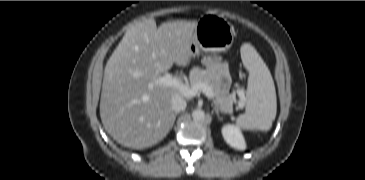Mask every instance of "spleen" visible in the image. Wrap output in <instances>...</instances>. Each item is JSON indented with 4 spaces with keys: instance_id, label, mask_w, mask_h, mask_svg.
I'll use <instances>...</instances> for the list:
<instances>
[{
    "instance_id": "3e777b00",
    "label": "spleen",
    "mask_w": 365,
    "mask_h": 180,
    "mask_svg": "<svg viewBox=\"0 0 365 180\" xmlns=\"http://www.w3.org/2000/svg\"><path fill=\"white\" fill-rule=\"evenodd\" d=\"M242 61L249 72L245 113L236 119L237 128L268 131L276 117L277 101L271 73L250 45L241 50Z\"/></svg>"
}]
</instances>
